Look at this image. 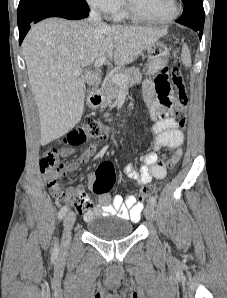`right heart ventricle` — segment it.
Masks as SVG:
<instances>
[{"label":"right heart ventricle","instance_id":"e07e8e85","mask_svg":"<svg viewBox=\"0 0 227 298\" xmlns=\"http://www.w3.org/2000/svg\"><path fill=\"white\" fill-rule=\"evenodd\" d=\"M126 16H127V15H126L123 11L119 10V11L114 15V18H115L116 20H120V19L125 18Z\"/></svg>","mask_w":227,"mask_h":298}]
</instances>
